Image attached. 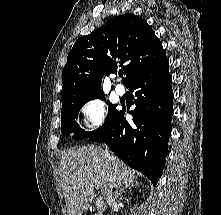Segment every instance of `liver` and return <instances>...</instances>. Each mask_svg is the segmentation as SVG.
Masks as SVG:
<instances>
[{
    "instance_id": "obj_1",
    "label": "liver",
    "mask_w": 221,
    "mask_h": 215,
    "mask_svg": "<svg viewBox=\"0 0 221 215\" xmlns=\"http://www.w3.org/2000/svg\"><path fill=\"white\" fill-rule=\"evenodd\" d=\"M95 145L71 148L64 152L59 163L64 198L69 215H80L88 209L98 189L106 199L110 187H119L136 180V175L119 158Z\"/></svg>"
}]
</instances>
